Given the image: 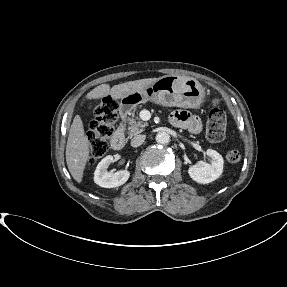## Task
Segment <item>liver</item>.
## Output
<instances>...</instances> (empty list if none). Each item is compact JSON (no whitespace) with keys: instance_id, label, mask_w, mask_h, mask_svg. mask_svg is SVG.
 <instances>
[{"instance_id":"1","label":"liver","mask_w":287,"mask_h":287,"mask_svg":"<svg viewBox=\"0 0 287 287\" xmlns=\"http://www.w3.org/2000/svg\"><path fill=\"white\" fill-rule=\"evenodd\" d=\"M158 78H146L128 81L110 88L109 84H101L92 89L85 96V100L100 99L110 95L113 99H121L123 96L133 92L142 91L153 84ZM89 141L85 136L83 121L76 115L68 135L66 145V162L70 174L78 183L82 182L83 172L89 160Z\"/></svg>"}]
</instances>
